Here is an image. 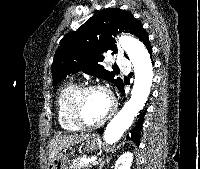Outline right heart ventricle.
Wrapping results in <instances>:
<instances>
[{
    "instance_id": "e07e8e85",
    "label": "right heart ventricle",
    "mask_w": 200,
    "mask_h": 169,
    "mask_svg": "<svg viewBox=\"0 0 200 169\" xmlns=\"http://www.w3.org/2000/svg\"><path fill=\"white\" fill-rule=\"evenodd\" d=\"M80 89L79 84L70 81L60 89L57 96L58 122L60 127L68 132H77L80 130L72 112L73 100Z\"/></svg>"
}]
</instances>
